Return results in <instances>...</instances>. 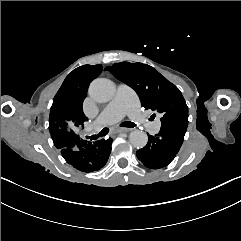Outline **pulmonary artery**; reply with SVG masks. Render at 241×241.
Segmentation results:
<instances>
[{"label":"pulmonary artery","mask_w":241,"mask_h":241,"mask_svg":"<svg viewBox=\"0 0 241 241\" xmlns=\"http://www.w3.org/2000/svg\"><path fill=\"white\" fill-rule=\"evenodd\" d=\"M138 103V96L128 86H119L113 100L109 102L107 108L98 111L97 117L88 124V129L92 133H97L105 127L117 124L128 114L130 108L136 107ZM140 127L148 134H155L159 123L154 118L143 117L140 120Z\"/></svg>","instance_id":"obj_1"}]
</instances>
